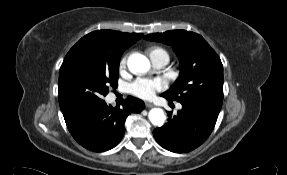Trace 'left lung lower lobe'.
<instances>
[{
  "label": "left lung lower lobe",
  "instance_id": "obj_1",
  "mask_svg": "<svg viewBox=\"0 0 287 175\" xmlns=\"http://www.w3.org/2000/svg\"><path fill=\"white\" fill-rule=\"evenodd\" d=\"M181 104L183 107L176 116L172 117L168 112V122L153 130L158 144L175 153L189 152L200 146L213 131L217 120L198 107Z\"/></svg>",
  "mask_w": 287,
  "mask_h": 175
}]
</instances>
